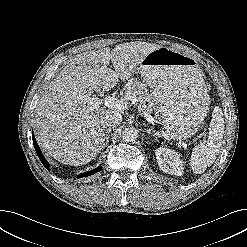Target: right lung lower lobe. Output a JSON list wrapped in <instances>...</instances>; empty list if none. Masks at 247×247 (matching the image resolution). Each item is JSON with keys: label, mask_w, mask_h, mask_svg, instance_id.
<instances>
[{"label": "right lung lower lobe", "mask_w": 247, "mask_h": 247, "mask_svg": "<svg viewBox=\"0 0 247 247\" xmlns=\"http://www.w3.org/2000/svg\"><path fill=\"white\" fill-rule=\"evenodd\" d=\"M32 139H33V144H34V147H35V150H36V153L40 159V161L42 162V164L49 170V163L46 161V159L44 158L43 154L41 153V150L35 140V137H34V133L32 132ZM102 167H98V168H95L91 171H88V172H85V173H82L80 174L78 177L79 178H82V177H87V176H90V175H93L99 171H101Z\"/></svg>", "instance_id": "98d812e1"}]
</instances>
